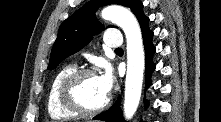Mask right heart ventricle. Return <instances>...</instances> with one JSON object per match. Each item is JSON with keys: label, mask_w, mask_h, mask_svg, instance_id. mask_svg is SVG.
Returning <instances> with one entry per match:
<instances>
[{"label": "right heart ventricle", "mask_w": 221, "mask_h": 122, "mask_svg": "<svg viewBox=\"0 0 221 122\" xmlns=\"http://www.w3.org/2000/svg\"><path fill=\"white\" fill-rule=\"evenodd\" d=\"M75 66L66 65L54 76L47 94V111L52 119L64 120L76 117L77 114L64 108L58 97V89L62 80L73 71Z\"/></svg>", "instance_id": "right-heart-ventricle-1"}]
</instances>
